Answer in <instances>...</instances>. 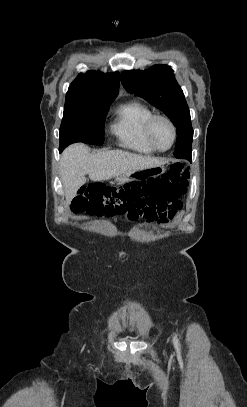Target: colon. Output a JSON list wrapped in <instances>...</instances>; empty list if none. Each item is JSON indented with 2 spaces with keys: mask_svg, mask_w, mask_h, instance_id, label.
<instances>
[{
  "mask_svg": "<svg viewBox=\"0 0 247 407\" xmlns=\"http://www.w3.org/2000/svg\"><path fill=\"white\" fill-rule=\"evenodd\" d=\"M189 174L182 163H175L167 173L156 178L111 187L90 184L79 190L71 208L75 213L125 216L141 209L148 200L174 203L186 193Z\"/></svg>",
  "mask_w": 247,
  "mask_h": 407,
  "instance_id": "1",
  "label": "colon"
}]
</instances>
